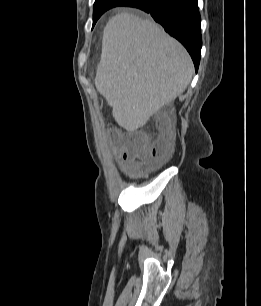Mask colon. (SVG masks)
I'll return each mask as SVG.
<instances>
[{"label": "colon", "mask_w": 261, "mask_h": 306, "mask_svg": "<svg viewBox=\"0 0 261 306\" xmlns=\"http://www.w3.org/2000/svg\"><path fill=\"white\" fill-rule=\"evenodd\" d=\"M156 126L159 137L151 148L150 155L155 163L165 162L170 155V142L172 139V119L165 113L160 112L156 117ZM147 139L138 134L129 135L123 142L125 153L130 159L144 156Z\"/></svg>", "instance_id": "5ec220e1"}]
</instances>
